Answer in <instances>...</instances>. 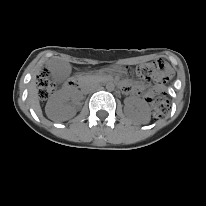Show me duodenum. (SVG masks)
Listing matches in <instances>:
<instances>
[{
	"instance_id": "410a0bca",
	"label": "duodenum",
	"mask_w": 206,
	"mask_h": 206,
	"mask_svg": "<svg viewBox=\"0 0 206 206\" xmlns=\"http://www.w3.org/2000/svg\"><path fill=\"white\" fill-rule=\"evenodd\" d=\"M69 87H76L77 90H82L83 89V84L79 83L77 80H70L66 84Z\"/></svg>"
}]
</instances>
